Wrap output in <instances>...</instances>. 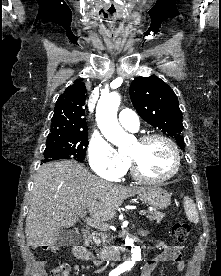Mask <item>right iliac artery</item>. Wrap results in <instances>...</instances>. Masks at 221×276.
I'll return each mask as SVG.
<instances>
[{
    "label": "right iliac artery",
    "instance_id": "82829eb1",
    "mask_svg": "<svg viewBox=\"0 0 221 276\" xmlns=\"http://www.w3.org/2000/svg\"><path fill=\"white\" fill-rule=\"evenodd\" d=\"M126 269L124 267H118L115 270L111 271L109 276H118L120 273L124 272Z\"/></svg>",
    "mask_w": 221,
    "mask_h": 276
}]
</instances>
